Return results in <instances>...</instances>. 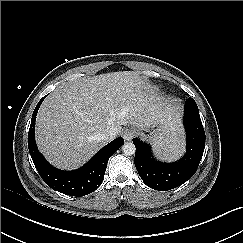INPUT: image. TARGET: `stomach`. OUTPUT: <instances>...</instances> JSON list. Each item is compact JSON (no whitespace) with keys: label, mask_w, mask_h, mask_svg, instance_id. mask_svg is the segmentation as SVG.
Segmentation results:
<instances>
[{"label":"stomach","mask_w":243,"mask_h":243,"mask_svg":"<svg viewBox=\"0 0 243 243\" xmlns=\"http://www.w3.org/2000/svg\"><path fill=\"white\" fill-rule=\"evenodd\" d=\"M145 131L148 133V137L153 141L157 151H159L162 143L165 142L169 136L164 125L160 122L152 123Z\"/></svg>","instance_id":"stomach-1"}]
</instances>
